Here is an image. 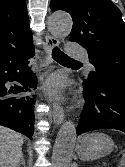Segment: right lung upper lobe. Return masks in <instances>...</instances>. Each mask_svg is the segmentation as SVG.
Masks as SVG:
<instances>
[{
  "instance_id": "cb5924a9",
  "label": "right lung upper lobe",
  "mask_w": 125,
  "mask_h": 167,
  "mask_svg": "<svg viewBox=\"0 0 125 167\" xmlns=\"http://www.w3.org/2000/svg\"><path fill=\"white\" fill-rule=\"evenodd\" d=\"M25 0H0V54L32 42Z\"/></svg>"
}]
</instances>
